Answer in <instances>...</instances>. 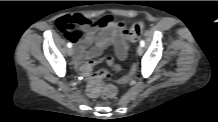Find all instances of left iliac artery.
<instances>
[{"label": "left iliac artery", "instance_id": "obj_1", "mask_svg": "<svg viewBox=\"0 0 218 122\" xmlns=\"http://www.w3.org/2000/svg\"><path fill=\"white\" fill-rule=\"evenodd\" d=\"M140 45H141L142 47H144V45H145L144 40H141V41H140Z\"/></svg>", "mask_w": 218, "mask_h": 122}]
</instances>
